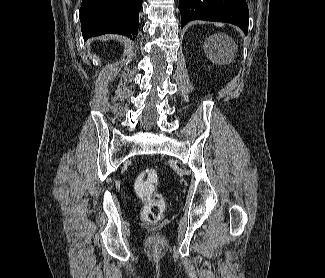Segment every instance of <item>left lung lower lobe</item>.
Instances as JSON below:
<instances>
[{
    "instance_id": "left-lung-lower-lobe-1",
    "label": "left lung lower lobe",
    "mask_w": 325,
    "mask_h": 278,
    "mask_svg": "<svg viewBox=\"0 0 325 278\" xmlns=\"http://www.w3.org/2000/svg\"><path fill=\"white\" fill-rule=\"evenodd\" d=\"M181 27L192 20L228 22L247 34L249 11L246 0H179Z\"/></svg>"
}]
</instances>
